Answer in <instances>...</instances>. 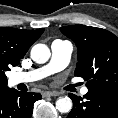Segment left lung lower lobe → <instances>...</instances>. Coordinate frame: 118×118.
Here are the masks:
<instances>
[{"mask_svg": "<svg viewBox=\"0 0 118 118\" xmlns=\"http://www.w3.org/2000/svg\"><path fill=\"white\" fill-rule=\"evenodd\" d=\"M73 108L67 118H118V96L88 91L84 99L69 94Z\"/></svg>", "mask_w": 118, "mask_h": 118, "instance_id": "obj_1", "label": "left lung lower lobe"}]
</instances>
